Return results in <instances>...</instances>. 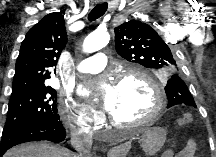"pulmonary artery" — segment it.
<instances>
[{"label": "pulmonary artery", "mask_w": 216, "mask_h": 157, "mask_svg": "<svg viewBox=\"0 0 216 157\" xmlns=\"http://www.w3.org/2000/svg\"><path fill=\"white\" fill-rule=\"evenodd\" d=\"M107 63V55L104 53H97L93 56L85 58L76 67L81 73H98L102 71Z\"/></svg>", "instance_id": "e3ab8cb5"}]
</instances>
